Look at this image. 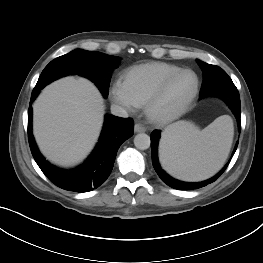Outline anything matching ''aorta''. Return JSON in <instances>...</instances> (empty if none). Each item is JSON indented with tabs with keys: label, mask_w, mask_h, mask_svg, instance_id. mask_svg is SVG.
<instances>
[{
	"label": "aorta",
	"mask_w": 263,
	"mask_h": 263,
	"mask_svg": "<svg viewBox=\"0 0 263 263\" xmlns=\"http://www.w3.org/2000/svg\"><path fill=\"white\" fill-rule=\"evenodd\" d=\"M150 137L145 133H139L134 137V145L139 150H146L150 147Z\"/></svg>",
	"instance_id": "aorta-1"
}]
</instances>
